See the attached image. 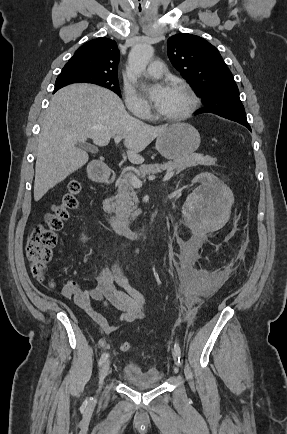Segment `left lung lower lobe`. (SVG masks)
<instances>
[{
    "label": "left lung lower lobe",
    "instance_id": "1",
    "mask_svg": "<svg viewBox=\"0 0 287 434\" xmlns=\"http://www.w3.org/2000/svg\"><path fill=\"white\" fill-rule=\"evenodd\" d=\"M206 112L214 113V114H217V115L224 117L226 119L236 121V122L244 125L245 127H247L249 130H251V127L247 122L245 112L232 111V110H223V111L212 112V111H208L205 109H200V110L195 112V115H198L201 113H206Z\"/></svg>",
    "mask_w": 287,
    "mask_h": 434
}]
</instances>
